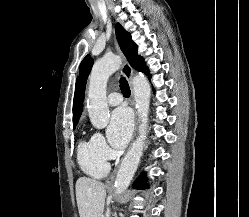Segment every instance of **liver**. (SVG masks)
<instances>
[{
  "instance_id": "1",
  "label": "liver",
  "mask_w": 249,
  "mask_h": 217,
  "mask_svg": "<svg viewBox=\"0 0 249 217\" xmlns=\"http://www.w3.org/2000/svg\"><path fill=\"white\" fill-rule=\"evenodd\" d=\"M106 198L102 182L80 177L76 182V200L80 217H102Z\"/></svg>"
}]
</instances>
